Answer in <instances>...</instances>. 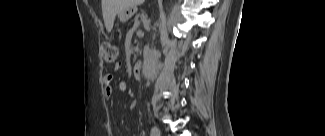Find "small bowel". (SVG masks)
Returning <instances> with one entry per match:
<instances>
[{
  "label": "small bowel",
  "mask_w": 325,
  "mask_h": 136,
  "mask_svg": "<svg viewBox=\"0 0 325 136\" xmlns=\"http://www.w3.org/2000/svg\"><path fill=\"white\" fill-rule=\"evenodd\" d=\"M119 67H120L119 65H116L115 69H119ZM103 82H104L103 95L107 100H110L113 97V87H112L113 76L111 74L104 75ZM118 88L121 92H127L128 91L127 82L125 80H121L118 83Z\"/></svg>",
  "instance_id": "small-bowel-1"
}]
</instances>
